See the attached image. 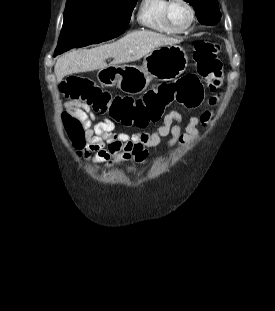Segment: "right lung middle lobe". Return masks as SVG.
<instances>
[{
  "mask_svg": "<svg viewBox=\"0 0 275 311\" xmlns=\"http://www.w3.org/2000/svg\"><path fill=\"white\" fill-rule=\"evenodd\" d=\"M137 0L67 1L54 56L73 47L100 43L126 27Z\"/></svg>",
  "mask_w": 275,
  "mask_h": 311,
  "instance_id": "right-lung-middle-lobe-1",
  "label": "right lung middle lobe"
}]
</instances>
